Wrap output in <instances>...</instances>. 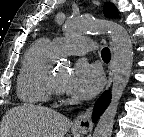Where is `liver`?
Wrapping results in <instances>:
<instances>
[{
    "instance_id": "obj_1",
    "label": "liver",
    "mask_w": 144,
    "mask_h": 137,
    "mask_svg": "<svg viewBox=\"0 0 144 137\" xmlns=\"http://www.w3.org/2000/svg\"><path fill=\"white\" fill-rule=\"evenodd\" d=\"M72 123L61 113L42 106L24 104L6 112L1 137H64Z\"/></svg>"
}]
</instances>
